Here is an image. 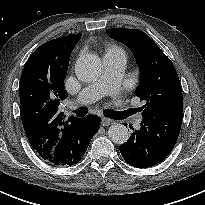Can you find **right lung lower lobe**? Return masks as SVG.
<instances>
[{
    "label": "right lung lower lobe",
    "instance_id": "1",
    "mask_svg": "<svg viewBox=\"0 0 205 205\" xmlns=\"http://www.w3.org/2000/svg\"><path fill=\"white\" fill-rule=\"evenodd\" d=\"M100 120L93 116L79 118L68 125L46 161L56 166H71L84 155L92 137L98 132Z\"/></svg>",
    "mask_w": 205,
    "mask_h": 205
}]
</instances>
